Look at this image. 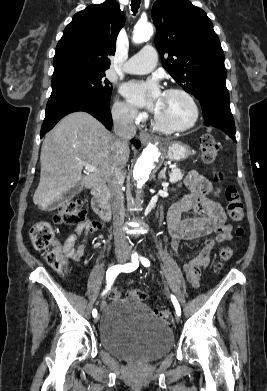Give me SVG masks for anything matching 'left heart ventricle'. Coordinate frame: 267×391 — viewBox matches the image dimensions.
Masks as SVG:
<instances>
[{
    "instance_id": "1",
    "label": "left heart ventricle",
    "mask_w": 267,
    "mask_h": 391,
    "mask_svg": "<svg viewBox=\"0 0 267 391\" xmlns=\"http://www.w3.org/2000/svg\"><path fill=\"white\" fill-rule=\"evenodd\" d=\"M156 116L168 124L181 126L191 120L192 108L182 95L164 93L158 104Z\"/></svg>"
}]
</instances>
